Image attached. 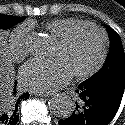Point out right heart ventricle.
Returning <instances> with one entry per match:
<instances>
[{
	"label": "right heart ventricle",
	"instance_id": "e07e8e85",
	"mask_svg": "<svg viewBox=\"0 0 125 125\" xmlns=\"http://www.w3.org/2000/svg\"><path fill=\"white\" fill-rule=\"evenodd\" d=\"M81 22L83 21L73 17L56 18L46 22L44 29L47 33L58 39L72 26Z\"/></svg>",
	"mask_w": 125,
	"mask_h": 125
}]
</instances>
